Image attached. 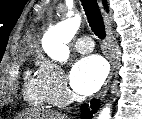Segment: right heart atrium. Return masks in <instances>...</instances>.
Segmentation results:
<instances>
[{
    "instance_id": "1",
    "label": "right heart atrium",
    "mask_w": 142,
    "mask_h": 119,
    "mask_svg": "<svg viewBox=\"0 0 142 119\" xmlns=\"http://www.w3.org/2000/svg\"><path fill=\"white\" fill-rule=\"evenodd\" d=\"M39 76L47 87L50 103L61 106L68 101L70 91L65 74L58 65L49 60H42Z\"/></svg>"
}]
</instances>
